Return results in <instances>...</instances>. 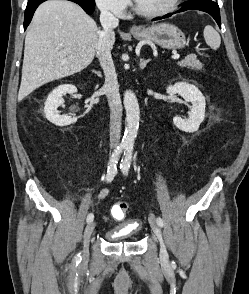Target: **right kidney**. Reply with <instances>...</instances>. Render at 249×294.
Masks as SVG:
<instances>
[{
    "label": "right kidney",
    "instance_id": "ca27d5eb",
    "mask_svg": "<svg viewBox=\"0 0 249 294\" xmlns=\"http://www.w3.org/2000/svg\"><path fill=\"white\" fill-rule=\"evenodd\" d=\"M77 88L71 84L56 87L47 97L44 107L46 118L56 126H67L77 121V118L68 115H60L57 108L64 103L62 98L66 93L73 94Z\"/></svg>",
    "mask_w": 249,
    "mask_h": 294
}]
</instances>
